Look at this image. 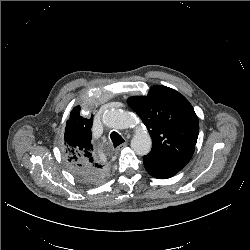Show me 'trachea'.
Listing matches in <instances>:
<instances>
[{"label":"trachea","instance_id":"obj_1","mask_svg":"<svg viewBox=\"0 0 250 250\" xmlns=\"http://www.w3.org/2000/svg\"><path fill=\"white\" fill-rule=\"evenodd\" d=\"M110 138H111V141H112L114 147H117L124 142V139L121 137V135L115 131H113L110 134Z\"/></svg>","mask_w":250,"mask_h":250}]
</instances>
